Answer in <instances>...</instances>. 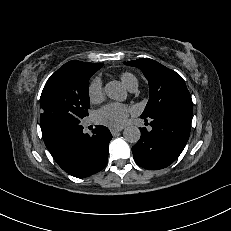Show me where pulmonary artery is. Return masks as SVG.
Here are the masks:
<instances>
[{
	"label": "pulmonary artery",
	"instance_id": "e3ab8cb5",
	"mask_svg": "<svg viewBox=\"0 0 231 231\" xmlns=\"http://www.w3.org/2000/svg\"><path fill=\"white\" fill-rule=\"evenodd\" d=\"M137 89V86H133L130 91H135Z\"/></svg>",
	"mask_w": 231,
	"mask_h": 231
}]
</instances>
